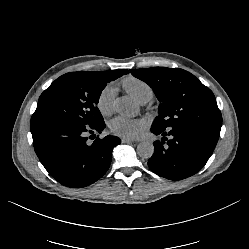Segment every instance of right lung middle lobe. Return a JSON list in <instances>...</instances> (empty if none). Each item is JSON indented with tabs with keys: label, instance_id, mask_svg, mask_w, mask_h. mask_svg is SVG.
Masks as SVG:
<instances>
[{
	"label": "right lung middle lobe",
	"instance_id": "right-lung-middle-lobe-1",
	"mask_svg": "<svg viewBox=\"0 0 249 249\" xmlns=\"http://www.w3.org/2000/svg\"><path fill=\"white\" fill-rule=\"evenodd\" d=\"M113 71L71 72L56 79L40 96L31 123L60 120L93 126L103 122L97 108L107 83L127 74Z\"/></svg>",
	"mask_w": 249,
	"mask_h": 249
}]
</instances>
